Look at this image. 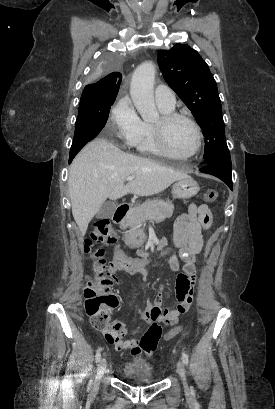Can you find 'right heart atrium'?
I'll return each instance as SVG.
<instances>
[{"label": "right heart atrium", "mask_w": 275, "mask_h": 409, "mask_svg": "<svg viewBox=\"0 0 275 409\" xmlns=\"http://www.w3.org/2000/svg\"><path fill=\"white\" fill-rule=\"evenodd\" d=\"M141 122L131 102L127 99L120 100L110 114V123L114 129V141L111 143H126V152H129L135 145Z\"/></svg>", "instance_id": "1"}]
</instances>
